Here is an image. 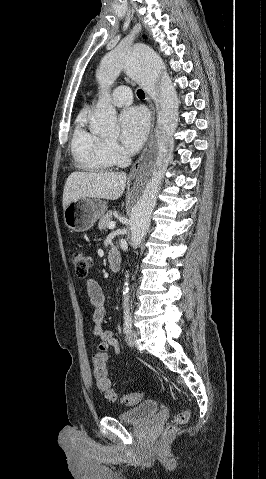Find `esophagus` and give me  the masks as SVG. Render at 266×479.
Listing matches in <instances>:
<instances>
[{"label": "esophagus", "mask_w": 266, "mask_h": 479, "mask_svg": "<svg viewBox=\"0 0 266 479\" xmlns=\"http://www.w3.org/2000/svg\"><path fill=\"white\" fill-rule=\"evenodd\" d=\"M147 99V102H148V105H149V108H150V113H151V130H153L154 128V123H155V109H154V105L150 99L149 96L146 97ZM150 140H151V137L146 145V147L144 148L142 154L140 155V157L138 158V160L134 163V165L132 166L131 170H130V177H135L137 175V173L139 172L140 170V167H141V164L146 156V153H147V150H148V147L150 145Z\"/></svg>", "instance_id": "1"}]
</instances>
